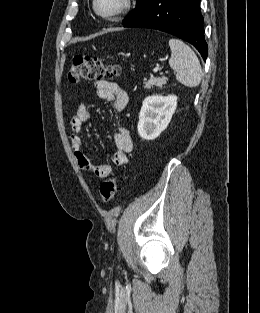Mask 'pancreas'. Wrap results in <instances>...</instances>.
Wrapping results in <instances>:
<instances>
[{"instance_id": "pancreas-1", "label": "pancreas", "mask_w": 260, "mask_h": 313, "mask_svg": "<svg viewBox=\"0 0 260 313\" xmlns=\"http://www.w3.org/2000/svg\"><path fill=\"white\" fill-rule=\"evenodd\" d=\"M167 78L166 77H161V78H155V77H151L148 81L147 79H144V88L149 90L151 88L156 87H162L163 85H165L167 83Z\"/></svg>"}]
</instances>
